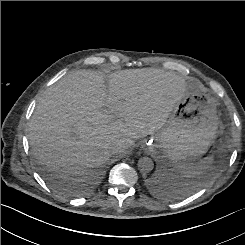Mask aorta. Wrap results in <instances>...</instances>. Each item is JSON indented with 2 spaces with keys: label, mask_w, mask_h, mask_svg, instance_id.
<instances>
[{
  "label": "aorta",
  "mask_w": 245,
  "mask_h": 245,
  "mask_svg": "<svg viewBox=\"0 0 245 245\" xmlns=\"http://www.w3.org/2000/svg\"><path fill=\"white\" fill-rule=\"evenodd\" d=\"M138 169L141 173H148L153 170L154 163L149 157H142L138 160Z\"/></svg>",
  "instance_id": "obj_1"
}]
</instances>
